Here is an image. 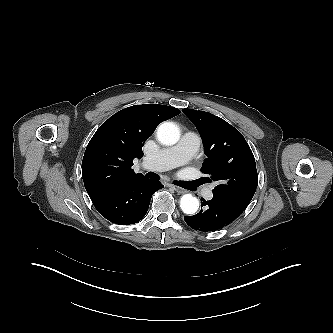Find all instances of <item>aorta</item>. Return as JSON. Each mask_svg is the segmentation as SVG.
Segmentation results:
<instances>
[{
	"instance_id": "1",
	"label": "aorta",
	"mask_w": 333,
	"mask_h": 333,
	"mask_svg": "<svg viewBox=\"0 0 333 333\" xmlns=\"http://www.w3.org/2000/svg\"><path fill=\"white\" fill-rule=\"evenodd\" d=\"M179 137V128L173 122H163L157 129V138L163 145H174ZM180 207L185 214H195L199 208V200L192 194H185L180 199Z\"/></svg>"
}]
</instances>
